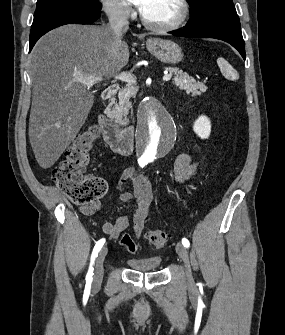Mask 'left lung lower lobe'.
<instances>
[{"instance_id":"obj_1","label":"left lung lower lobe","mask_w":285,"mask_h":335,"mask_svg":"<svg viewBox=\"0 0 285 335\" xmlns=\"http://www.w3.org/2000/svg\"><path fill=\"white\" fill-rule=\"evenodd\" d=\"M179 37L215 38L230 43L245 59V46L240 21L234 4H208L192 14L183 29L173 33Z\"/></svg>"}]
</instances>
